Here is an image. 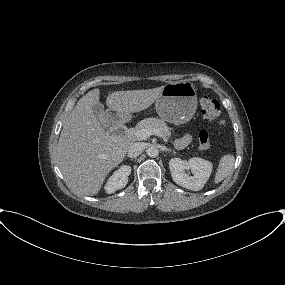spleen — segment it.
<instances>
[{
	"label": "spleen",
	"instance_id": "1",
	"mask_svg": "<svg viewBox=\"0 0 285 285\" xmlns=\"http://www.w3.org/2000/svg\"><path fill=\"white\" fill-rule=\"evenodd\" d=\"M235 158L231 154H226L221 157L218 169L215 174L214 182L219 183L223 181L232 171Z\"/></svg>",
	"mask_w": 285,
	"mask_h": 285
}]
</instances>
